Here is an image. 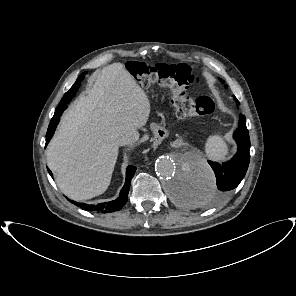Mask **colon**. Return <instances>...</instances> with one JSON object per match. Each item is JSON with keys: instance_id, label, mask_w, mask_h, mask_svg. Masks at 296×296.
I'll return each mask as SVG.
<instances>
[{"instance_id": "1", "label": "colon", "mask_w": 296, "mask_h": 296, "mask_svg": "<svg viewBox=\"0 0 296 296\" xmlns=\"http://www.w3.org/2000/svg\"><path fill=\"white\" fill-rule=\"evenodd\" d=\"M126 69L142 86L158 84L169 88L172 92V103L180 118L207 116L215 109L214 102L209 97L192 98L188 95L189 87L198 82V79L185 64H148L129 61Z\"/></svg>"}]
</instances>
